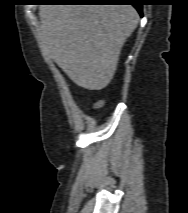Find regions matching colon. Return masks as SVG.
Returning a JSON list of instances; mask_svg holds the SVG:
<instances>
[{"label": "colon", "instance_id": "1", "mask_svg": "<svg viewBox=\"0 0 188 213\" xmlns=\"http://www.w3.org/2000/svg\"><path fill=\"white\" fill-rule=\"evenodd\" d=\"M103 105H104V102L99 101V102L95 103V108H101V107H103Z\"/></svg>", "mask_w": 188, "mask_h": 213}]
</instances>
